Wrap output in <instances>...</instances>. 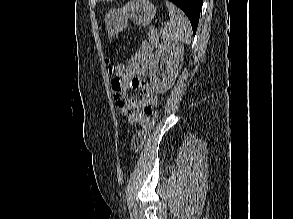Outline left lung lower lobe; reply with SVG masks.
I'll use <instances>...</instances> for the list:
<instances>
[{"mask_svg": "<svg viewBox=\"0 0 293 219\" xmlns=\"http://www.w3.org/2000/svg\"><path fill=\"white\" fill-rule=\"evenodd\" d=\"M181 8L184 13L188 16L193 33H196L198 21L200 17V11L202 7L203 0H170Z\"/></svg>", "mask_w": 293, "mask_h": 219, "instance_id": "obj_1", "label": "left lung lower lobe"}]
</instances>
